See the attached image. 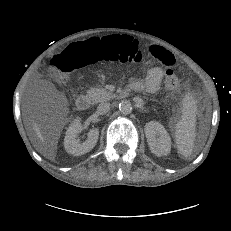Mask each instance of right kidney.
<instances>
[{"label":"right kidney","instance_id":"obj_1","mask_svg":"<svg viewBox=\"0 0 231 231\" xmlns=\"http://www.w3.org/2000/svg\"><path fill=\"white\" fill-rule=\"evenodd\" d=\"M81 130L82 124L77 118L70 124L64 139V147L66 152L74 156H80L90 152L98 141L99 130L97 128H93L88 132L87 140L80 142L79 139H77V134Z\"/></svg>","mask_w":231,"mask_h":231}]
</instances>
